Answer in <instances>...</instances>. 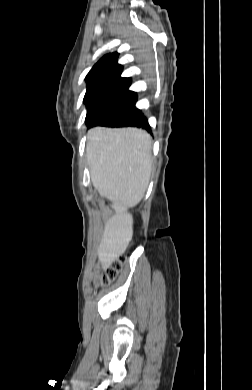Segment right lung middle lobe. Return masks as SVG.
Masks as SVG:
<instances>
[{
  "instance_id": "obj_1",
  "label": "right lung middle lobe",
  "mask_w": 252,
  "mask_h": 390,
  "mask_svg": "<svg viewBox=\"0 0 252 390\" xmlns=\"http://www.w3.org/2000/svg\"><path fill=\"white\" fill-rule=\"evenodd\" d=\"M134 101H99L87 105L88 127L102 125L125 110L133 107Z\"/></svg>"
}]
</instances>
